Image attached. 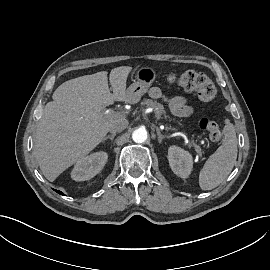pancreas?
Returning <instances> with one entry per match:
<instances>
[{
  "instance_id": "1",
  "label": "pancreas",
  "mask_w": 270,
  "mask_h": 270,
  "mask_svg": "<svg viewBox=\"0 0 270 270\" xmlns=\"http://www.w3.org/2000/svg\"><path fill=\"white\" fill-rule=\"evenodd\" d=\"M141 105L152 107L155 111L156 117L160 118L162 115H164V117L167 118L164 107L161 103H158L157 101H154L152 99H144L141 102ZM168 129H171V126Z\"/></svg>"
}]
</instances>
